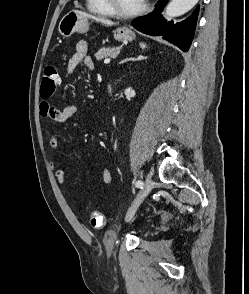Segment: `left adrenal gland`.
I'll list each match as a JSON object with an SVG mask.
<instances>
[{
  "label": "left adrenal gland",
  "instance_id": "left-adrenal-gland-1",
  "mask_svg": "<svg viewBox=\"0 0 249 294\" xmlns=\"http://www.w3.org/2000/svg\"><path fill=\"white\" fill-rule=\"evenodd\" d=\"M147 57H144L142 55H139L138 57L134 58V57H131V58H127V59H124L120 62L121 63H125L127 61H138V60H142V59H146Z\"/></svg>",
  "mask_w": 249,
  "mask_h": 294
}]
</instances>
